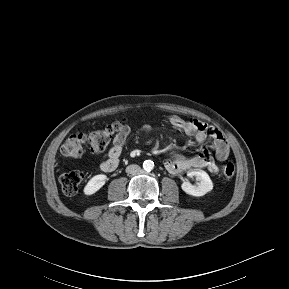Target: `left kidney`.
I'll use <instances>...</instances> for the list:
<instances>
[{
	"label": "left kidney",
	"instance_id": "5707ae66",
	"mask_svg": "<svg viewBox=\"0 0 289 289\" xmlns=\"http://www.w3.org/2000/svg\"><path fill=\"white\" fill-rule=\"evenodd\" d=\"M187 175L191 178L196 177L198 181L196 185H192L189 181L182 183L181 188L187 194L200 197L213 189V182L205 171L194 169L189 171Z\"/></svg>",
	"mask_w": 289,
	"mask_h": 289
}]
</instances>
